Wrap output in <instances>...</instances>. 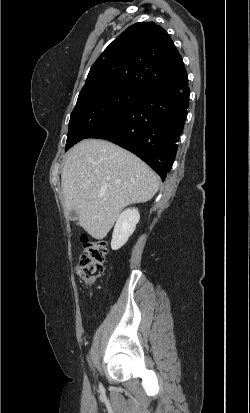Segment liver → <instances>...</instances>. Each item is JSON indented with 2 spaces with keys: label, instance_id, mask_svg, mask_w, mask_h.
Here are the masks:
<instances>
[{
  "label": "liver",
  "instance_id": "6515ba94",
  "mask_svg": "<svg viewBox=\"0 0 250 413\" xmlns=\"http://www.w3.org/2000/svg\"><path fill=\"white\" fill-rule=\"evenodd\" d=\"M67 214L95 239L106 237L123 208L158 191L155 172L131 152L105 140L86 139L67 154L61 173Z\"/></svg>",
  "mask_w": 250,
  "mask_h": 413
}]
</instances>
